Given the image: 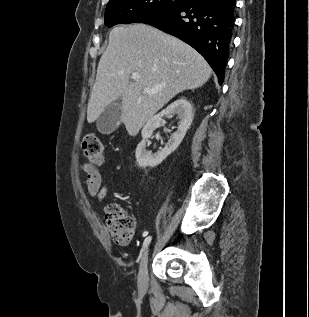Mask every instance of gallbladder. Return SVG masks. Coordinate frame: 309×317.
I'll return each mask as SVG.
<instances>
[{
    "mask_svg": "<svg viewBox=\"0 0 309 317\" xmlns=\"http://www.w3.org/2000/svg\"><path fill=\"white\" fill-rule=\"evenodd\" d=\"M122 115V102L120 99L108 105L96 121L97 129L102 134H110L117 129Z\"/></svg>",
    "mask_w": 309,
    "mask_h": 317,
    "instance_id": "bac80fb5",
    "label": "gallbladder"
}]
</instances>
